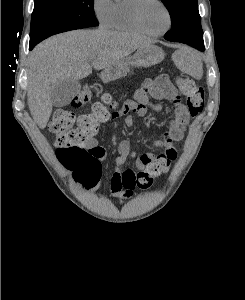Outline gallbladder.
Returning <instances> with one entry per match:
<instances>
[{
  "instance_id": "obj_1",
  "label": "gallbladder",
  "mask_w": 245,
  "mask_h": 300,
  "mask_svg": "<svg viewBox=\"0 0 245 300\" xmlns=\"http://www.w3.org/2000/svg\"><path fill=\"white\" fill-rule=\"evenodd\" d=\"M79 80H65L57 83L51 90V100L54 106L63 107L68 105L80 91Z\"/></svg>"
}]
</instances>
